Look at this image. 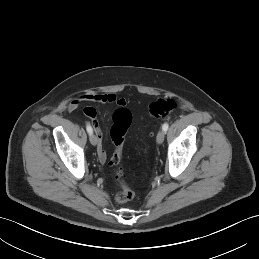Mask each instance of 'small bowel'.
<instances>
[{
    "label": "small bowel",
    "instance_id": "1",
    "mask_svg": "<svg viewBox=\"0 0 259 259\" xmlns=\"http://www.w3.org/2000/svg\"><path fill=\"white\" fill-rule=\"evenodd\" d=\"M91 102L98 104H114L120 108H125L127 103L124 98L118 97L112 93H85L75 98L69 105V110L74 111L77 109L80 103ZM84 114L91 120L93 128L97 137V156L101 163H104L107 159V152L102 144V131L97 122V112L92 107H85Z\"/></svg>",
    "mask_w": 259,
    "mask_h": 259
}]
</instances>
